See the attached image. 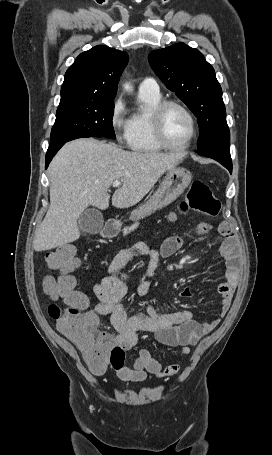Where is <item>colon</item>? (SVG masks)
Segmentation results:
<instances>
[{"mask_svg": "<svg viewBox=\"0 0 272 455\" xmlns=\"http://www.w3.org/2000/svg\"><path fill=\"white\" fill-rule=\"evenodd\" d=\"M181 210H194L207 216H217L220 203L209 186L200 180L192 182ZM43 289L58 302L48 307V314L57 321L59 330L82 351L91 370L101 372L108 367L115 370L124 366L123 348L110 337L97 335V319L87 311L88 299L75 289L72 273L79 266L77 249L65 244L47 254Z\"/></svg>", "mask_w": 272, "mask_h": 455, "instance_id": "colon-1", "label": "colon"}]
</instances>
